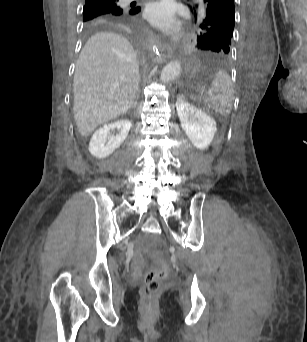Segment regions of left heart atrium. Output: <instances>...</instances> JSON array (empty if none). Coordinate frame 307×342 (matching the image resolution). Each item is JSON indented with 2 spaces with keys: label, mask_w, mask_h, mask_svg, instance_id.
Instances as JSON below:
<instances>
[{
  "label": "left heart atrium",
  "mask_w": 307,
  "mask_h": 342,
  "mask_svg": "<svg viewBox=\"0 0 307 342\" xmlns=\"http://www.w3.org/2000/svg\"><path fill=\"white\" fill-rule=\"evenodd\" d=\"M148 21L156 28L174 33L178 28L174 7L168 2L153 3L146 10Z\"/></svg>",
  "instance_id": "obj_1"
}]
</instances>
